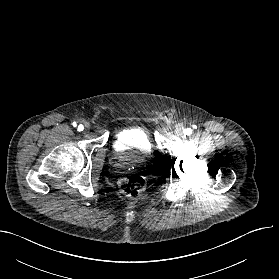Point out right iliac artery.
<instances>
[{
  "instance_id": "obj_1",
  "label": "right iliac artery",
  "mask_w": 279,
  "mask_h": 279,
  "mask_svg": "<svg viewBox=\"0 0 279 279\" xmlns=\"http://www.w3.org/2000/svg\"><path fill=\"white\" fill-rule=\"evenodd\" d=\"M73 126H74V127L77 126L76 122L73 123ZM83 129H84L83 125H79V126H78V131H83Z\"/></svg>"
}]
</instances>
